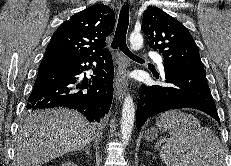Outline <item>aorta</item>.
<instances>
[{"mask_svg": "<svg viewBox=\"0 0 231 166\" xmlns=\"http://www.w3.org/2000/svg\"><path fill=\"white\" fill-rule=\"evenodd\" d=\"M143 46V37L140 32L134 31L130 35V47L132 50H140ZM135 120V107L132 97L128 94L123 103L121 117V136L123 144H128Z\"/></svg>", "mask_w": 231, "mask_h": 166, "instance_id": "aorta-1", "label": "aorta"}]
</instances>
